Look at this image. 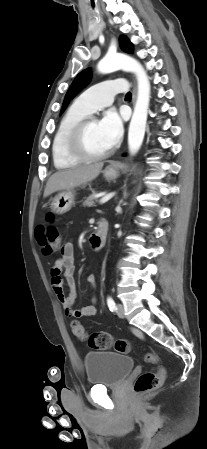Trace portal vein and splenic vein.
<instances>
[{"label":"portal vein and splenic vein","mask_w":207,"mask_h":449,"mask_svg":"<svg viewBox=\"0 0 207 449\" xmlns=\"http://www.w3.org/2000/svg\"><path fill=\"white\" fill-rule=\"evenodd\" d=\"M114 195H115V193H110V194H107V195L103 196V197L100 199V203H101V204L106 203V202L109 201Z\"/></svg>","instance_id":"obj_1"}]
</instances>
